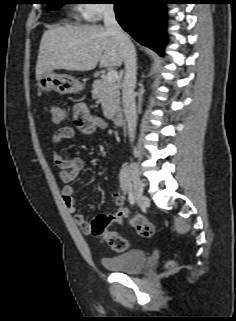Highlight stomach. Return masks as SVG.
Segmentation results:
<instances>
[{
	"label": "stomach",
	"mask_w": 236,
	"mask_h": 321,
	"mask_svg": "<svg viewBox=\"0 0 236 321\" xmlns=\"http://www.w3.org/2000/svg\"><path fill=\"white\" fill-rule=\"evenodd\" d=\"M37 85L42 91L54 90L59 94H68L81 91L84 85L75 78L56 74L53 71L43 73L37 80Z\"/></svg>",
	"instance_id": "0dacf381"
}]
</instances>
